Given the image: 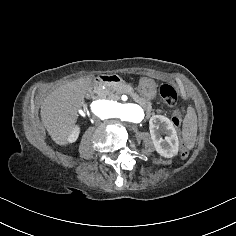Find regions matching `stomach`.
<instances>
[{
	"instance_id": "1",
	"label": "stomach",
	"mask_w": 236,
	"mask_h": 236,
	"mask_svg": "<svg viewBox=\"0 0 236 236\" xmlns=\"http://www.w3.org/2000/svg\"><path fill=\"white\" fill-rule=\"evenodd\" d=\"M138 90L143 98L149 100L154 99L158 94L155 81L149 78L140 79Z\"/></svg>"
}]
</instances>
